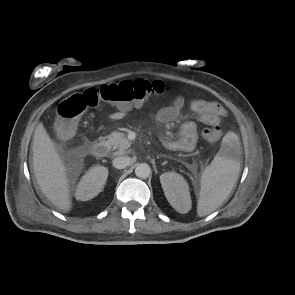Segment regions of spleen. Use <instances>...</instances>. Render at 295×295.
<instances>
[{
    "instance_id": "1",
    "label": "spleen",
    "mask_w": 295,
    "mask_h": 295,
    "mask_svg": "<svg viewBox=\"0 0 295 295\" xmlns=\"http://www.w3.org/2000/svg\"><path fill=\"white\" fill-rule=\"evenodd\" d=\"M239 148L238 136L234 132L226 133L219 152L202 172L198 216L203 217L215 211L231 193L241 167Z\"/></svg>"
}]
</instances>
